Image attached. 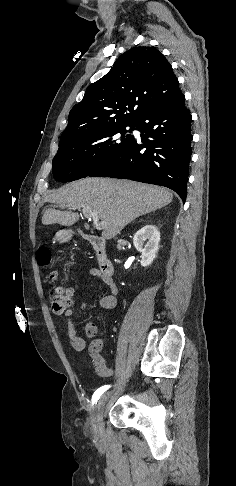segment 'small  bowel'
<instances>
[{
	"label": "small bowel",
	"mask_w": 236,
	"mask_h": 486,
	"mask_svg": "<svg viewBox=\"0 0 236 486\" xmlns=\"http://www.w3.org/2000/svg\"><path fill=\"white\" fill-rule=\"evenodd\" d=\"M91 275L97 280L103 282L105 285L109 287L110 294L107 296L102 297L99 300V305L105 309H112L116 306V296L118 293V288L115 285L113 279L111 277L103 276L100 271L96 268L91 269ZM87 303L83 302L80 306L82 310L86 309ZM73 311L67 310L64 313V317L67 323V330H66V337L70 341L72 347L76 351H82L86 347V342L83 338L78 336L74 321L72 319ZM97 326L93 322H88L85 326V334L88 338H93L97 334ZM103 342L101 339H96L91 342L88 351L92 358L93 365L97 371V373L101 377H109L113 374V369L106 366L104 359L100 355V350L102 348Z\"/></svg>",
	"instance_id": "small-bowel-1"
}]
</instances>
